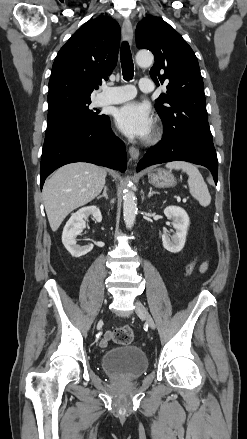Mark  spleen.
Wrapping results in <instances>:
<instances>
[{"label": "spleen", "mask_w": 247, "mask_h": 439, "mask_svg": "<svg viewBox=\"0 0 247 439\" xmlns=\"http://www.w3.org/2000/svg\"><path fill=\"white\" fill-rule=\"evenodd\" d=\"M169 169L182 170L188 175L190 194L198 200L201 206L207 207L211 203L208 187L196 166L184 161H173L166 164Z\"/></svg>", "instance_id": "obj_1"}]
</instances>
